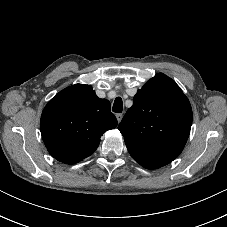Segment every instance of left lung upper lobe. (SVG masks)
I'll list each match as a JSON object with an SVG mask.
<instances>
[{
  "mask_svg": "<svg viewBox=\"0 0 227 227\" xmlns=\"http://www.w3.org/2000/svg\"><path fill=\"white\" fill-rule=\"evenodd\" d=\"M191 125L188 98L174 80L158 73L138 90L118 129L133 159L157 169L182 152Z\"/></svg>",
  "mask_w": 227,
  "mask_h": 227,
  "instance_id": "obj_1",
  "label": "left lung upper lobe"
}]
</instances>
